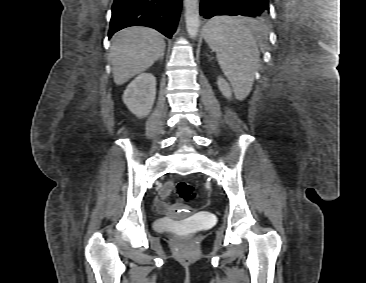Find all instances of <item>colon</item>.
<instances>
[{
  "label": "colon",
  "mask_w": 366,
  "mask_h": 283,
  "mask_svg": "<svg viewBox=\"0 0 366 283\" xmlns=\"http://www.w3.org/2000/svg\"><path fill=\"white\" fill-rule=\"evenodd\" d=\"M176 194L184 202H191L196 197L195 187L185 181H180L176 185Z\"/></svg>",
  "instance_id": "5ec220e1"
}]
</instances>
